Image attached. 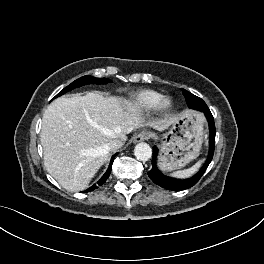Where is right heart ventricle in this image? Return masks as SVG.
I'll return each instance as SVG.
<instances>
[{
    "label": "right heart ventricle",
    "instance_id": "e07e8e85",
    "mask_svg": "<svg viewBox=\"0 0 264 264\" xmlns=\"http://www.w3.org/2000/svg\"><path fill=\"white\" fill-rule=\"evenodd\" d=\"M163 95L155 90H142L136 93L130 101V106L136 111H149L156 107Z\"/></svg>",
    "mask_w": 264,
    "mask_h": 264
}]
</instances>
